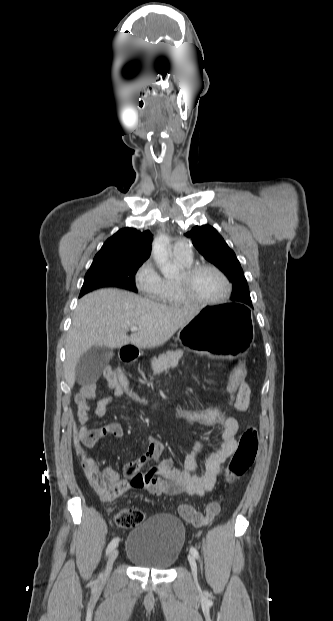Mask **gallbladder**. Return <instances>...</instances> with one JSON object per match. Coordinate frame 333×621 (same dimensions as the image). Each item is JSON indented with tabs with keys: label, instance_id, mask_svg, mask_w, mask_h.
I'll list each match as a JSON object with an SVG mask.
<instances>
[{
	"label": "gallbladder",
	"instance_id": "obj_1",
	"mask_svg": "<svg viewBox=\"0 0 333 621\" xmlns=\"http://www.w3.org/2000/svg\"><path fill=\"white\" fill-rule=\"evenodd\" d=\"M112 356L113 350L106 346L92 347L83 354L75 369L78 384L85 385L96 382Z\"/></svg>",
	"mask_w": 333,
	"mask_h": 621
}]
</instances>
